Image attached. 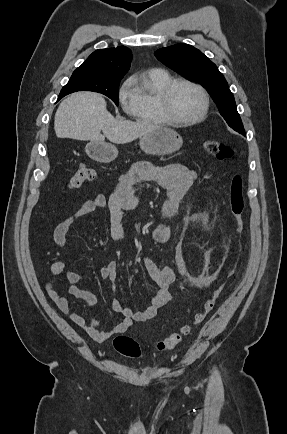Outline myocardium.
<instances>
[{
  "instance_id": "obj_1",
  "label": "myocardium",
  "mask_w": 287,
  "mask_h": 434,
  "mask_svg": "<svg viewBox=\"0 0 287 434\" xmlns=\"http://www.w3.org/2000/svg\"><path fill=\"white\" fill-rule=\"evenodd\" d=\"M179 84L189 85L195 88L202 98V109L200 113L191 119H179L174 116L171 110V95L174 88ZM159 107L165 119L174 125H192L201 122L205 119L209 109V97L203 86L185 78H173L161 90L159 95Z\"/></svg>"
}]
</instances>
